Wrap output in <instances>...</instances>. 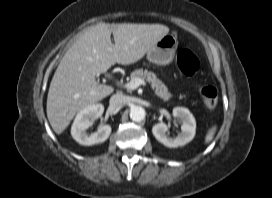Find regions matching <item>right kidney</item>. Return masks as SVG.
Wrapping results in <instances>:
<instances>
[{"mask_svg":"<svg viewBox=\"0 0 272 198\" xmlns=\"http://www.w3.org/2000/svg\"><path fill=\"white\" fill-rule=\"evenodd\" d=\"M103 112L104 106L102 104H92L78 112L71 128V135L79 144L91 146L102 143L108 139L111 134L110 125L99 127L98 131L91 135L86 133V130Z\"/></svg>","mask_w":272,"mask_h":198,"instance_id":"right-kidney-1","label":"right kidney"}]
</instances>
